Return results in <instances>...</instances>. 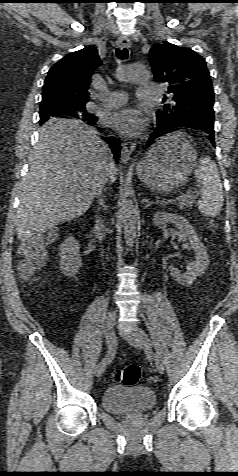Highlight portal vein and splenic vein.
Wrapping results in <instances>:
<instances>
[{
    "instance_id": "obj_1",
    "label": "portal vein and splenic vein",
    "mask_w": 238,
    "mask_h": 476,
    "mask_svg": "<svg viewBox=\"0 0 238 476\" xmlns=\"http://www.w3.org/2000/svg\"><path fill=\"white\" fill-rule=\"evenodd\" d=\"M187 197H188L187 194H180V195H178V196L175 198V200H176V201H182V200H184V199L187 198Z\"/></svg>"
}]
</instances>
